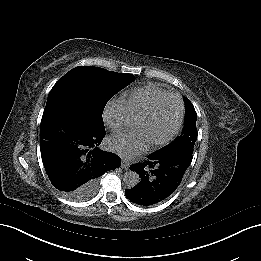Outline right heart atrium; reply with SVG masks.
Returning a JSON list of instances; mask_svg holds the SVG:
<instances>
[{
  "label": "right heart atrium",
  "mask_w": 261,
  "mask_h": 261,
  "mask_svg": "<svg viewBox=\"0 0 261 261\" xmlns=\"http://www.w3.org/2000/svg\"><path fill=\"white\" fill-rule=\"evenodd\" d=\"M127 109L121 102L109 103L103 113V118L106 124L115 129H120L125 123V114Z\"/></svg>",
  "instance_id": "1"
}]
</instances>
